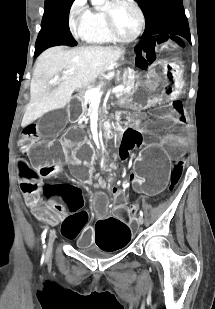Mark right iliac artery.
Wrapping results in <instances>:
<instances>
[{
	"label": "right iliac artery",
	"mask_w": 215,
	"mask_h": 309,
	"mask_svg": "<svg viewBox=\"0 0 215 309\" xmlns=\"http://www.w3.org/2000/svg\"><path fill=\"white\" fill-rule=\"evenodd\" d=\"M48 231V227H46L41 235V239H42V243L44 244L45 243V238H46V233ZM43 248L45 249L46 248V245L44 244L43 245Z\"/></svg>",
	"instance_id": "obj_1"
}]
</instances>
